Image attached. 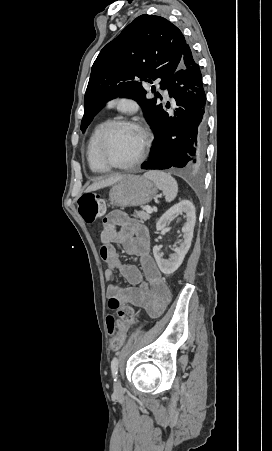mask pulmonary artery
I'll return each instance as SVG.
<instances>
[{
  "label": "pulmonary artery",
  "mask_w": 272,
  "mask_h": 451,
  "mask_svg": "<svg viewBox=\"0 0 272 451\" xmlns=\"http://www.w3.org/2000/svg\"><path fill=\"white\" fill-rule=\"evenodd\" d=\"M164 98H165V100H167V101L172 100L173 95H172V91H171L170 89H167V90L165 91Z\"/></svg>",
  "instance_id": "e3ab8cb5"
}]
</instances>
